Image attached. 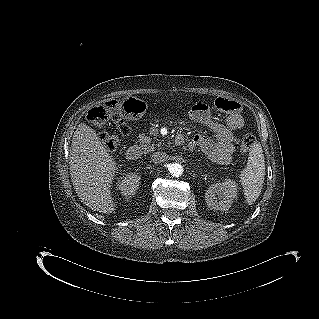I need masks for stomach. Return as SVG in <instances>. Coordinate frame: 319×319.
I'll return each instance as SVG.
<instances>
[{"mask_svg":"<svg viewBox=\"0 0 319 319\" xmlns=\"http://www.w3.org/2000/svg\"><path fill=\"white\" fill-rule=\"evenodd\" d=\"M204 112H205L204 108L200 104L195 103L194 105L190 107L189 116L192 119H197L201 117Z\"/></svg>","mask_w":319,"mask_h":319,"instance_id":"stomach-1","label":"stomach"}]
</instances>
